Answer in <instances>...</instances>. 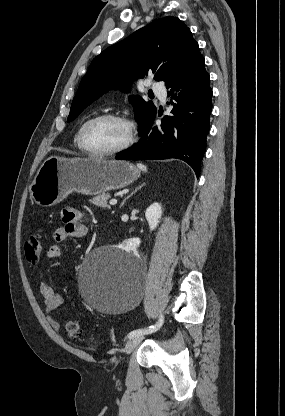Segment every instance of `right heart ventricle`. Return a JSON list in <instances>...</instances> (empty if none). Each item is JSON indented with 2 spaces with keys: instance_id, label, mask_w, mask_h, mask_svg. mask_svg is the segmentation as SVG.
Here are the masks:
<instances>
[{
  "instance_id": "e07e8e85",
  "label": "right heart ventricle",
  "mask_w": 285,
  "mask_h": 416,
  "mask_svg": "<svg viewBox=\"0 0 285 416\" xmlns=\"http://www.w3.org/2000/svg\"><path fill=\"white\" fill-rule=\"evenodd\" d=\"M83 124H84V123H82V124L80 125V127L78 128V130H77V132H76V134H75V136H74V140H73L75 147H76L78 150H80V151H83V149H82V147H81V145H80V141H79V137H80V130H81V127H82V125H83Z\"/></svg>"
}]
</instances>
